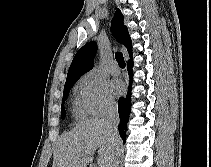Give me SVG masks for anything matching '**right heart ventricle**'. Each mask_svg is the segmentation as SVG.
<instances>
[{"mask_svg":"<svg viewBox=\"0 0 211 167\" xmlns=\"http://www.w3.org/2000/svg\"><path fill=\"white\" fill-rule=\"evenodd\" d=\"M75 114H76L77 116H80V117H82V116L85 115V114L80 110L78 104H77L76 109H75Z\"/></svg>","mask_w":211,"mask_h":167,"instance_id":"obj_1","label":"right heart ventricle"}]
</instances>
